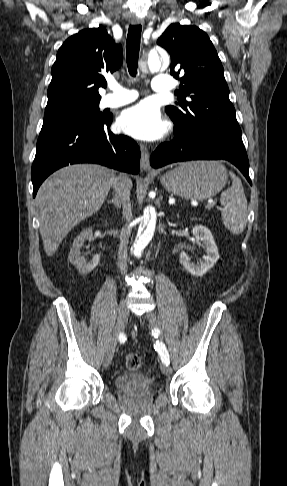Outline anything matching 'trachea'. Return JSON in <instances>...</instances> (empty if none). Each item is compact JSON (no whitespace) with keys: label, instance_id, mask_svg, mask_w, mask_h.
I'll use <instances>...</instances> for the list:
<instances>
[{"label":"trachea","instance_id":"3493384b","mask_svg":"<svg viewBox=\"0 0 287 486\" xmlns=\"http://www.w3.org/2000/svg\"><path fill=\"white\" fill-rule=\"evenodd\" d=\"M141 30V25H132L128 30L126 58L128 71L132 77L137 74Z\"/></svg>","mask_w":287,"mask_h":486}]
</instances>
